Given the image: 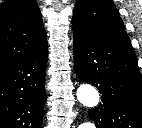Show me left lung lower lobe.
<instances>
[{
  "label": "left lung lower lobe",
  "instance_id": "left-lung-lower-lobe-1",
  "mask_svg": "<svg viewBox=\"0 0 142 128\" xmlns=\"http://www.w3.org/2000/svg\"><path fill=\"white\" fill-rule=\"evenodd\" d=\"M73 32L78 77L102 94L103 103L89 117L97 128H142V75L135 53L81 30Z\"/></svg>",
  "mask_w": 142,
  "mask_h": 128
}]
</instances>
